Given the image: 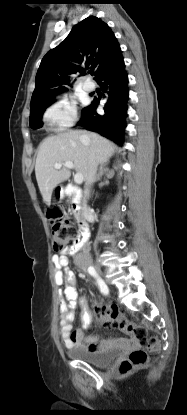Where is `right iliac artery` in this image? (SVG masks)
Instances as JSON below:
<instances>
[{"label":"right iliac artery","mask_w":187,"mask_h":415,"mask_svg":"<svg viewBox=\"0 0 187 415\" xmlns=\"http://www.w3.org/2000/svg\"><path fill=\"white\" fill-rule=\"evenodd\" d=\"M88 272H89V274L91 276H93L96 279V281H97V283H98V285L100 287L101 292L104 295H107L109 293V289H108L107 285L105 284V282L97 274V272L95 271L94 267H92V266L88 267Z\"/></svg>","instance_id":"obj_1"}]
</instances>
